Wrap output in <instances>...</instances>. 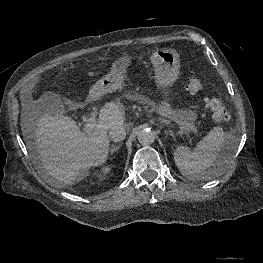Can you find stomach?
Instances as JSON below:
<instances>
[{
	"label": "stomach",
	"mask_w": 263,
	"mask_h": 263,
	"mask_svg": "<svg viewBox=\"0 0 263 263\" xmlns=\"http://www.w3.org/2000/svg\"><path fill=\"white\" fill-rule=\"evenodd\" d=\"M132 58L124 55L117 58L110 72L102 77L90 90V96L99 97L102 94L119 89L125 80V74L130 66ZM151 62L154 67L155 80L158 87L169 88L178 79L180 73V55L170 47L156 49ZM155 109L159 115L174 121L180 128V132H189L195 129V114L191 111L175 110L167 101H163Z\"/></svg>",
	"instance_id": "1"
}]
</instances>
